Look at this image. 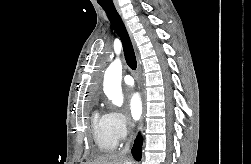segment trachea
Wrapping results in <instances>:
<instances>
[{
	"label": "trachea",
	"mask_w": 251,
	"mask_h": 164,
	"mask_svg": "<svg viewBox=\"0 0 251 164\" xmlns=\"http://www.w3.org/2000/svg\"><path fill=\"white\" fill-rule=\"evenodd\" d=\"M100 6L106 12L108 19L110 20L112 26L114 27L115 31L117 32L118 36L121 39L127 65L132 70H136L137 62H136V57H135V53H134V49H133L130 37L128 35L126 27L121 17L119 16L112 0L111 2L100 4Z\"/></svg>",
	"instance_id": "1"
}]
</instances>
